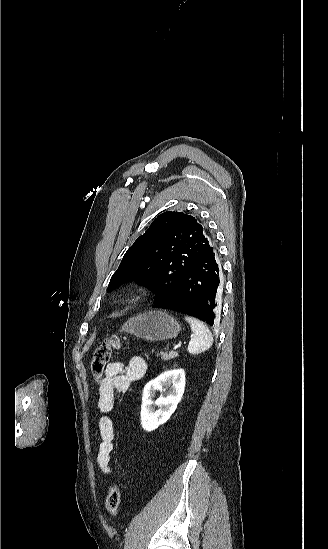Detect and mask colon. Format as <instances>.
I'll return each instance as SVG.
<instances>
[{
    "instance_id": "1",
    "label": "colon",
    "mask_w": 328,
    "mask_h": 549,
    "mask_svg": "<svg viewBox=\"0 0 328 549\" xmlns=\"http://www.w3.org/2000/svg\"><path fill=\"white\" fill-rule=\"evenodd\" d=\"M125 338L112 336L101 342L95 349L91 360V372L96 380H100L105 370L106 364L109 362L112 353L121 348ZM120 490L116 484L109 487L105 507L109 515L116 516L120 507Z\"/></svg>"
}]
</instances>
